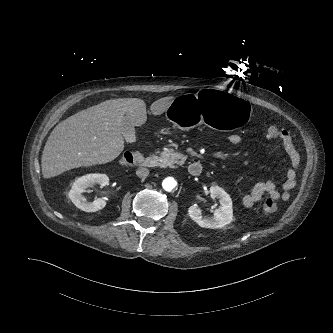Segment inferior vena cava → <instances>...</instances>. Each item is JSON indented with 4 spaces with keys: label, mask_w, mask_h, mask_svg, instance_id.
<instances>
[{
    "label": "inferior vena cava",
    "mask_w": 333,
    "mask_h": 333,
    "mask_svg": "<svg viewBox=\"0 0 333 333\" xmlns=\"http://www.w3.org/2000/svg\"><path fill=\"white\" fill-rule=\"evenodd\" d=\"M136 175L139 177V178H146L148 175H149V170L147 168H138L136 170Z\"/></svg>",
    "instance_id": "1"
}]
</instances>
